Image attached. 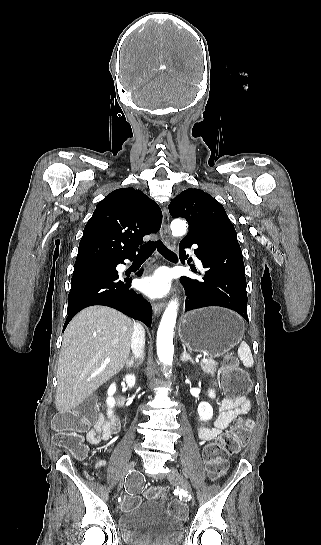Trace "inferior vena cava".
<instances>
[{"mask_svg": "<svg viewBox=\"0 0 321 545\" xmlns=\"http://www.w3.org/2000/svg\"><path fill=\"white\" fill-rule=\"evenodd\" d=\"M145 345V331L142 325L135 323L133 335L131 337V349L134 359H143Z\"/></svg>", "mask_w": 321, "mask_h": 545, "instance_id": "1", "label": "inferior vena cava"}]
</instances>
